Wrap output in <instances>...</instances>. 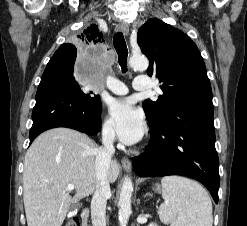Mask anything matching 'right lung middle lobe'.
<instances>
[{
	"label": "right lung middle lobe",
	"mask_w": 247,
	"mask_h": 226,
	"mask_svg": "<svg viewBox=\"0 0 247 226\" xmlns=\"http://www.w3.org/2000/svg\"><path fill=\"white\" fill-rule=\"evenodd\" d=\"M76 55H62L60 56L57 61L63 62L71 71H74V63H75ZM89 93V96L94 101H100V97L98 95H91Z\"/></svg>",
	"instance_id": "1"
}]
</instances>
